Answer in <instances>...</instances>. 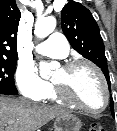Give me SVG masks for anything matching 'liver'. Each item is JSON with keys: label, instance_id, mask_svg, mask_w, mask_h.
<instances>
[{"label": "liver", "instance_id": "obj_1", "mask_svg": "<svg viewBox=\"0 0 117 131\" xmlns=\"http://www.w3.org/2000/svg\"><path fill=\"white\" fill-rule=\"evenodd\" d=\"M69 112L0 95V131H36L52 119ZM9 121H14L10 124Z\"/></svg>", "mask_w": 117, "mask_h": 131}]
</instances>
